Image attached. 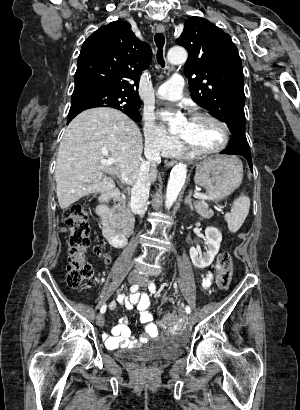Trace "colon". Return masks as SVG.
<instances>
[{
  "instance_id": "5ec220e1",
  "label": "colon",
  "mask_w": 300,
  "mask_h": 410,
  "mask_svg": "<svg viewBox=\"0 0 300 410\" xmlns=\"http://www.w3.org/2000/svg\"><path fill=\"white\" fill-rule=\"evenodd\" d=\"M64 222L69 231V256L67 264V283L71 287H79L93 273L91 265L86 261V252L91 245L90 228L84 205L80 202L71 204L64 213ZM95 252L102 253L100 245ZM216 286L220 290L229 287L233 275V259L228 250L219 253L216 261ZM177 323V315L169 312L163 321L164 326L173 327Z\"/></svg>"
}]
</instances>
